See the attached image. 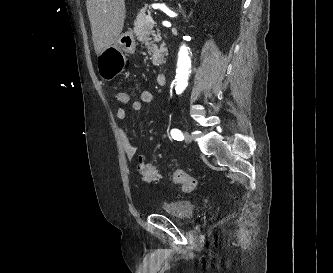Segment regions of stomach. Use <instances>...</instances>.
I'll return each mask as SVG.
<instances>
[{"instance_id":"obj_1","label":"stomach","mask_w":333,"mask_h":273,"mask_svg":"<svg viewBox=\"0 0 333 273\" xmlns=\"http://www.w3.org/2000/svg\"><path fill=\"white\" fill-rule=\"evenodd\" d=\"M136 49L134 34L131 30L122 33L117 41L98 54L97 68L101 77L111 80L120 70L124 69L125 54H133ZM124 53H116V52Z\"/></svg>"}]
</instances>
